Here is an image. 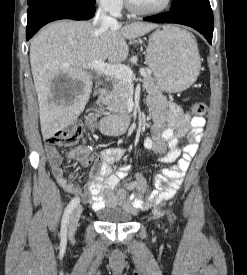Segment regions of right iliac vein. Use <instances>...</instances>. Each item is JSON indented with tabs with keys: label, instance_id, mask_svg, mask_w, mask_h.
I'll use <instances>...</instances> for the list:
<instances>
[{
	"label": "right iliac vein",
	"instance_id": "63e3f726",
	"mask_svg": "<svg viewBox=\"0 0 247 275\" xmlns=\"http://www.w3.org/2000/svg\"><path fill=\"white\" fill-rule=\"evenodd\" d=\"M81 213H82V207L80 205L75 207L74 210L72 211L69 219V225H68L69 236H73L75 234Z\"/></svg>",
	"mask_w": 247,
	"mask_h": 275
}]
</instances>
